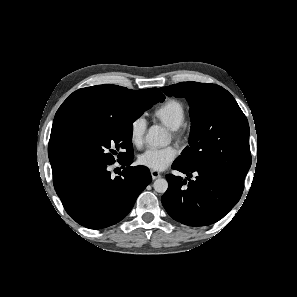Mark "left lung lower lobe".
<instances>
[{"label": "left lung lower lobe", "mask_w": 297, "mask_h": 297, "mask_svg": "<svg viewBox=\"0 0 297 297\" xmlns=\"http://www.w3.org/2000/svg\"><path fill=\"white\" fill-rule=\"evenodd\" d=\"M172 169L195 179L166 175L168 189L162 204L176 221L188 226H205L223 218L239 201L244 184L219 172L186 169L175 163Z\"/></svg>", "instance_id": "obj_1"}]
</instances>
